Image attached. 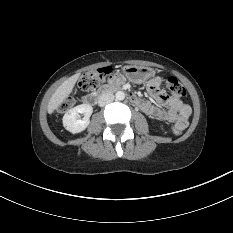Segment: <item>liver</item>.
<instances>
[{"instance_id": "liver-1", "label": "liver", "mask_w": 233, "mask_h": 233, "mask_svg": "<svg viewBox=\"0 0 233 233\" xmlns=\"http://www.w3.org/2000/svg\"><path fill=\"white\" fill-rule=\"evenodd\" d=\"M79 76V73L72 75L56 89L47 106V111L49 114H52L70 95Z\"/></svg>"}]
</instances>
